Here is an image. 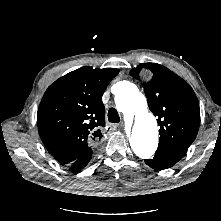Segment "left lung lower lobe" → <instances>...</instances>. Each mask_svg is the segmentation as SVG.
Instances as JSON below:
<instances>
[{
	"label": "left lung lower lobe",
	"mask_w": 221,
	"mask_h": 221,
	"mask_svg": "<svg viewBox=\"0 0 221 221\" xmlns=\"http://www.w3.org/2000/svg\"><path fill=\"white\" fill-rule=\"evenodd\" d=\"M183 156L173 152L159 151L155 153L153 159H146L145 163L153 169L163 170L172 167Z\"/></svg>",
	"instance_id": "1"
}]
</instances>
